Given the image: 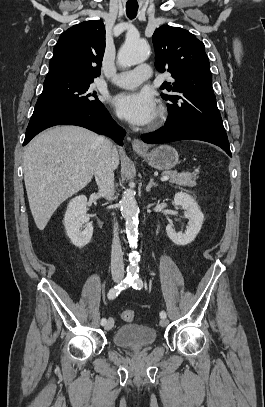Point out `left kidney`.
Returning <instances> with one entry per match:
<instances>
[{
  "mask_svg": "<svg viewBox=\"0 0 265 407\" xmlns=\"http://www.w3.org/2000/svg\"><path fill=\"white\" fill-rule=\"evenodd\" d=\"M175 208L181 207L185 212V216L188 218V227L185 233L176 232L172 225L166 226V232L168 237L179 246H185L191 243L199 233L204 216L201 212L196 201L187 193L178 192L174 196Z\"/></svg>",
  "mask_w": 265,
  "mask_h": 407,
  "instance_id": "left-kidney-1",
  "label": "left kidney"
}]
</instances>
